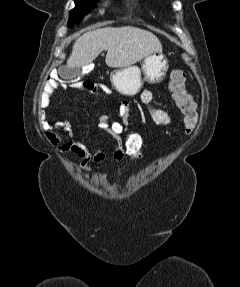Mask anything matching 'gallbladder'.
Segmentation results:
<instances>
[{"instance_id": "obj_1", "label": "gallbladder", "mask_w": 240, "mask_h": 287, "mask_svg": "<svg viewBox=\"0 0 240 287\" xmlns=\"http://www.w3.org/2000/svg\"><path fill=\"white\" fill-rule=\"evenodd\" d=\"M60 74L63 79L69 81H76L82 75L81 67H74V68H61Z\"/></svg>"}]
</instances>
